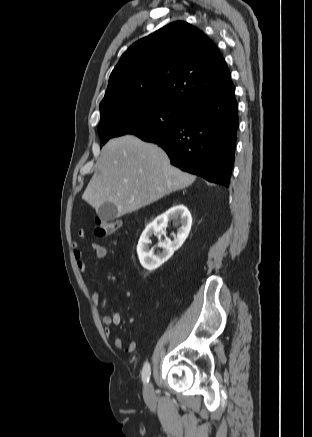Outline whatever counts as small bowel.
I'll return each mask as SVG.
<instances>
[{
	"instance_id": "c3829d8e",
	"label": "small bowel",
	"mask_w": 312,
	"mask_h": 437,
	"mask_svg": "<svg viewBox=\"0 0 312 437\" xmlns=\"http://www.w3.org/2000/svg\"><path fill=\"white\" fill-rule=\"evenodd\" d=\"M77 236L79 239H83L85 237V231L83 229H80L77 233ZM72 247L76 266L83 274H85L87 270V264L84 261L83 251L81 250L77 242H74L72 244ZM91 250L93 252L94 258L98 260L103 259L108 255V249L99 243H92ZM85 285L91 294L93 302L102 313V322L105 325L104 332L106 337L113 343L116 348L122 349L125 353L135 352L136 342L130 341L127 344H123L122 340L116 335L112 328V326L114 325H119L122 322V318L118 312L109 311L107 309L109 302L108 293L105 290L102 293L97 291L87 278H85Z\"/></svg>"
}]
</instances>
